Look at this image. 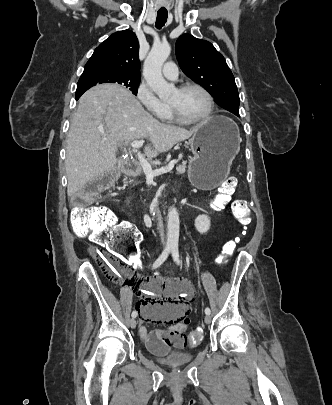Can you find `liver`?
<instances>
[{"mask_svg":"<svg viewBox=\"0 0 332 405\" xmlns=\"http://www.w3.org/2000/svg\"><path fill=\"white\" fill-rule=\"evenodd\" d=\"M197 129L159 122L121 86L103 84L89 89L79 99L67 137L68 196L114 168L120 143L148 139L151 146L144 152L152 159L189 139Z\"/></svg>","mask_w":332,"mask_h":405,"instance_id":"liver-1","label":"liver"}]
</instances>
